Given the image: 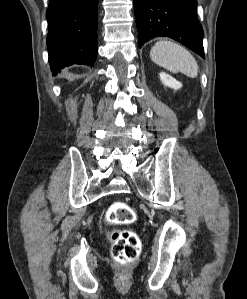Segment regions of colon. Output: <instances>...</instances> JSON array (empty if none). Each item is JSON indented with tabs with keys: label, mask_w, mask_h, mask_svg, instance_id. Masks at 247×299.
Returning <instances> with one entry per match:
<instances>
[{
	"label": "colon",
	"mask_w": 247,
	"mask_h": 299,
	"mask_svg": "<svg viewBox=\"0 0 247 299\" xmlns=\"http://www.w3.org/2000/svg\"><path fill=\"white\" fill-rule=\"evenodd\" d=\"M136 220L134 209L124 202H114L106 212V221L110 225H128ZM112 243V256L121 264L135 261L141 251L139 236L129 229H117L108 234Z\"/></svg>",
	"instance_id": "1"
}]
</instances>
